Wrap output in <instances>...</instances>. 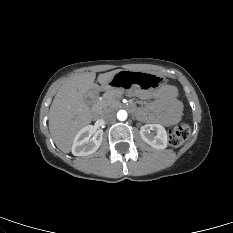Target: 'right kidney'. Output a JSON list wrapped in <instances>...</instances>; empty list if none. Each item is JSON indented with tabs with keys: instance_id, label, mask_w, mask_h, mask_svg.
<instances>
[{
	"instance_id": "1",
	"label": "right kidney",
	"mask_w": 233,
	"mask_h": 233,
	"mask_svg": "<svg viewBox=\"0 0 233 233\" xmlns=\"http://www.w3.org/2000/svg\"><path fill=\"white\" fill-rule=\"evenodd\" d=\"M102 137L103 131L99 130L94 132L91 125L82 128L74 138L71 150L72 154L75 156H87L93 154L100 147Z\"/></svg>"
}]
</instances>
